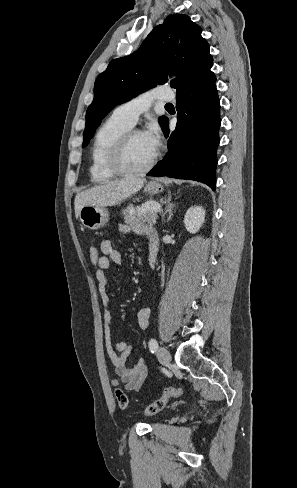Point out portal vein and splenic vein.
Segmentation results:
<instances>
[{
  "mask_svg": "<svg viewBox=\"0 0 297 488\" xmlns=\"http://www.w3.org/2000/svg\"><path fill=\"white\" fill-rule=\"evenodd\" d=\"M160 208V204L153 203V204H146L143 206V211L145 210H158Z\"/></svg>",
  "mask_w": 297,
  "mask_h": 488,
  "instance_id": "portal-vein-and-splenic-vein-1",
  "label": "portal vein and splenic vein"
}]
</instances>
